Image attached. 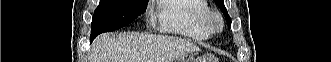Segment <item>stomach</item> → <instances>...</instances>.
I'll return each mask as SVG.
<instances>
[{"instance_id":"stomach-1","label":"stomach","mask_w":331,"mask_h":62,"mask_svg":"<svg viewBox=\"0 0 331 62\" xmlns=\"http://www.w3.org/2000/svg\"><path fill=\"white\" fill-rule=\"evenodd\" d=\"M173 62H195L193 58L186 56V55H182L178 58H176L175 60H173Z\"/></svg>"}]
</instances>
